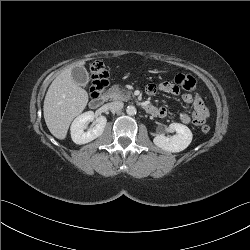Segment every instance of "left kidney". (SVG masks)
Instances as JSON below:
<instances>
[{"label": "left kidney", "instance_id": "left-kidney-1", "mask_svg": "<svg viewBox=\"0 0 250 250\" xmlns=\"http://www.w3.org/2000/svg\"><path fill=\"white\" fill-rule=\"evenodd\" d=\"M170 129L176 131V135L166 137L164 134H157L153 139L154 144L168 152L176 153L186 149L192 141L191 130L180 123L170 124Z\"/></svg>", "mask_w": 250, "mask_h": 250}]
</instances>
